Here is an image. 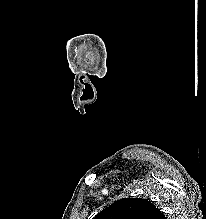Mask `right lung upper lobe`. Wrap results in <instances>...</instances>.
I'll list each match as a JSON object with an SVG mask.
<instances>
[{
	"label": "right lung upper lobe",
	"mask_w": 206,
	"mask_h": 219,
	"mask_svg": "<svg viewBox=\"0 0 206 219\" xmlns=\"http://www.w3.org/2000/svg\"><path fill=\"white\" fill-rule=\"evenodd\" d=\"M93 219H167L160 209L142 198H122Z\"/></svg>",
	"instance_id": "right-lung-upper-lobe-1"
}]
</instances>
